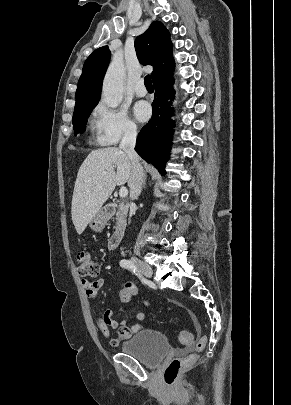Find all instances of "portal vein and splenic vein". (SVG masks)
Instances as JSON below:
<instances>
[{
  "label": "portal vein and splenic vein",
  "mask_w": 291,
  "mask_h": 405,
  "mask_svg": "<svg viewBox=\"0 0 291 405\" xmlns=\"http://www.w3.org/2000/svg\"><path fill=\"white\" fill-rule=\"evenodd\" d=\"M127 195H128V190H127V188L121 187L120 190H119V196H120L121 198H124V197H126Z\"/></svg>",
  "instance_id": "obj_1"
}]
</instances>
